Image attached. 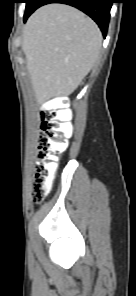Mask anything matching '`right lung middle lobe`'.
Returning <instances> with one entry per match:
<instances>
[{"label": "right lung middle lobe", "instance_id": "obj_1", "mask_svg": "<svg viewBox=\"0 0 136 296\" xmlns=\"http://www.w3.org/2000/svg\"><path fill=\"white\" fill-rule=\"evenodd\" d=\"M25 3H26L25 15H27L30 11H32L35 0H25Z\"/></svg>", "mask_w": 136, "mask_h": 296}]
</instances>
